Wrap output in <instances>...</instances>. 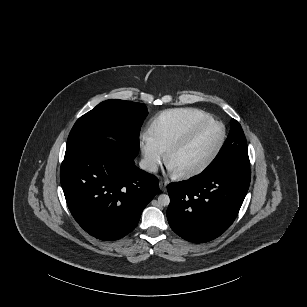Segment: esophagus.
<instances>
[{"instance_id": "obj_1", "label": "esophagus", "mask_w": 307, "mask_h": 307, "mask_svg": "<svg viewBox=\"0 0 307 307\" xmlns=\"http://www.w3.org/2000/svg\"><path fill=\"white\" fill-rule=\"evenodd\" d=\"M166 187H167V182L165 180H160L159 181V189L162 192H165L166 191Z\"/></svg>"}]
</instances>
